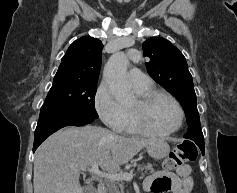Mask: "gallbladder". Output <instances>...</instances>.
Here are the masks:
<instances>
[{"instance_id": "gallbladder-1", "label": "gallbladder", "mask_w": 237, "mask_h": 193, "mask_svg": "<svg viewBox=\"0 0 237 193\" xmlns=\"http://www.w3.org/2000/svg\"><path fill=\"white\" fill-rule=\"evenodd\" d=\"M83 193H92V188L89 187V186H86V187L83 189Z\"/></svg>"}]
</instances>
